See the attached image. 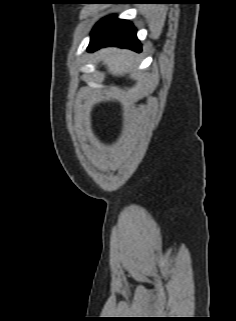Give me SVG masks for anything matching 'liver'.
Instances as JSON below:
<instances>
[{
    "label": "liver",
    "mask_w": 236,
    "mask_h": 321,
    "mask_svg": "<svg viewBox=\"0 0 236 321\" xmlns=\"http://www.w3.org/2000/svg\"><path fill=\"white\" fill-rule=\"evenodd\" d=\"M100 57L112 75L123 76L126 73H132L134 69L131 51L106 48L100 51Z\"/></svg>",
    "instance_id": "6515ba94"
}]
</instances>
